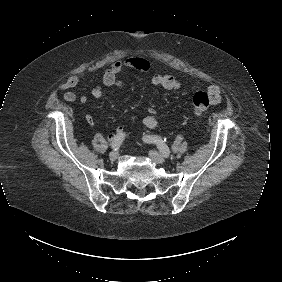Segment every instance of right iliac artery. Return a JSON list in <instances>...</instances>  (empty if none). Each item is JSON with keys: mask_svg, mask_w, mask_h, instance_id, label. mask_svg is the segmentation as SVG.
Instances as JSON below:
<instances>
[{"mask_svg": "<svg viewBox=\"0 0 282 282\" xmlns=\"http://www.w3.org/2000/svg\"><path fill=\"white\" fill-rule=\"evenodd\" d=\"M125 136H126L125 133H121V134L115 135V136L111 139V143H110L111 147H112L114 150L119 149L120 145L122 144V142H123L124 139H125Z\"/></svg>", "mask_w": 282, "mask_h": 282, "instance_id": "right-iliac-artery-1", "label": "right iliac artery"}]
</instances>
